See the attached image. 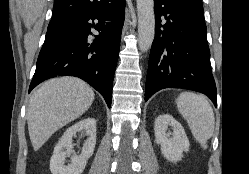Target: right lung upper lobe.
I'll return each instance as SVG.
<instances>
[{
  "label": "right lung upper lobe",
  "mask_w": 249,
  "mask_h": 174,
  "mask_svg": "<svg viewBox=\"0 0 249 174\" xmlns=\"http://www.w3.org/2000/svg\"><path fill=\"white\" fill-rule=\"evenodd\" d=\"M115 0H55L52 19L48 27H52L68 18L89 14L107 8Z\"/></svg>",
  "instance_id": "obj_1"
}]
</instances>
